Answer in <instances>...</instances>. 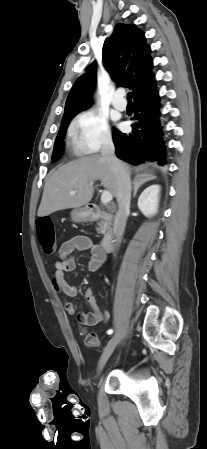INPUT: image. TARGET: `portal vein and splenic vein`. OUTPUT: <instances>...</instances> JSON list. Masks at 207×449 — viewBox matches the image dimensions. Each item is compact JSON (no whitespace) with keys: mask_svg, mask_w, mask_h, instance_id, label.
Instances as JSON below:
<instances>
[{"mask_svg":"<svg viewBox=\"0 0 207 449\" xmlns=\"http://www.w3.org/2000/svg\"><path fill=\"white\" fill-rule=\"evenodd\" d=\"M75 193H76V191H71L72 195L75 194ZM112 198H113L112 194L108 190H104L102 195H101V202L104 205H106V204H108L109 202L112 201Z\"/></svg>","mask_w":207,"mask_h":449,"instance_id":"portal-vein-and-splenic-vein-1","label":"portal vein and splenic vein"}]
</instances>
